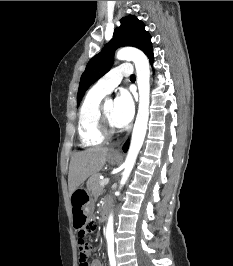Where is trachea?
<instances>
[{
	"label": "trachea",
	"instance_id": "obj_1",
	"mask_svg": "<svg viewBox=\"0 0 233 266\" xmlns=\"http://www.w3.org/2000/svg\"><path fill=\"white\" fill-rule=\"evenodd\" d=\"M130 79H135V75H131Z\"/></svg>",
	"mask_w": 233,
	"mask_h": 266
}]
</instances>
